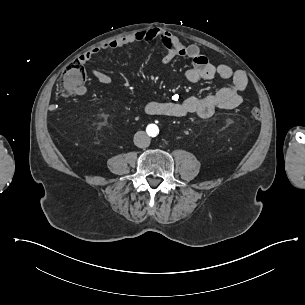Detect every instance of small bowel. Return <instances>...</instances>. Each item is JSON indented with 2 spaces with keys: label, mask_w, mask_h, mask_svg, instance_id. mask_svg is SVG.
I'll use <instances>...</instances> for the list:
<instances>
[{
  "label": "small bowel",
  "mask_w": 305,
  "mask_h": 305,
  "mask_svg": "<svg viewBox=\"0 0 305 305\" xmlns=\"http://www.w3.org/2000/svg\"><path fill=\"white\" fill-rule=\"evenodd\" d=\"M154 40L160 41L166 47V52L161 57L163 64L170 63L177 57L191 60L192 66L185 73V77L189 82L196 83L201 80H211L214 77H219L224 80H230L231 83L227 87L202 98L190 96L183 100L150 101L145 106L147 114L173 117H185L195 114L201 118H209L217 110H231L242 103L241 94L248 85V79L244 72L233 71L225 64L216 65L212 63L197 45H186L171 33L159 29L140 31L110 40L83 53L79 57V61L82 64L87 63L100 52L117 50L134 43ZM91 74L103 85L111 83L110 76L104 72L93 70ZM84 92V87H81L78 91V93Z\"/></svg>",
  "instance_id": "c3829d8e"
}]
</instances>
